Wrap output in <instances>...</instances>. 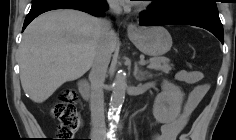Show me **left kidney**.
<instances>
[{"mask_svg":"<svg viewBox=\"0 0 236 140\" xmlns=\"http://www.w3.org/2000/svg\"><path fill=\"white\" fill-rule=\"evenodd\" d=\"M181 89L170 82L162 84V91L157 95L153 105V115L160 123H169L176 119L183 102Z\"/></svg>","mask_w":236,"mask_h":140,"instance_id":"1","label":"left kidney"}]
</instances>
